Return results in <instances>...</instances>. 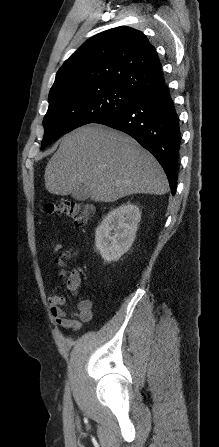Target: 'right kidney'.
<instances>
[{
  "instance_id": "1",
  "label": "right kidney",
  "mask_w": 219,
  "mask_h": 447,
  "mask_svg": "<svg viewBox=\"0 0 219 447\" xmlns=\"http://www.w3.org/2000/svg\"><path fill=\"white\" fill-rule=\"evenodd\" d=\"M140 219L139 208L131 203L123 204L105 216L95 232L96 249L105 261H116L128 251Z\"/></svg>"
}]
</instances>
